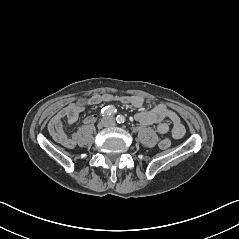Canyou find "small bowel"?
<instances>
[{
	"mask_svg": "<svg viewBox=\"0 0 239 239\" xmlns=\"http://www.w3.org/2000/svg\"><path fill=\"white\" fill-rule=\"evenodd\" d=\"M104 102H120L129 104L133 107L140 108L147 101L138 95H114L110 93L94 94L87 98L84 103L74 102L60 110L50 121L48 130L52 138L67 148H73L76 145V136H67L64 129V121L68 124L74 123L85 105H95ZM135 119L143 126L157 124V132L160 134L171 133L174 138H182L185 134V127L182 124L179 116L163 103L153 104V108L148 111H140L135 115ZM91 118L86 119V123H90Z\"/></svg>",
	"mask_w": 239,
	"mask_h": 239,
	"instance_id": "c3829d8e",
	"label": "small bowel"
}]
</instances>
